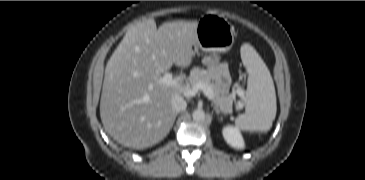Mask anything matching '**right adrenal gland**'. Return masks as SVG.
I'll list each match as a JSON object with an SVG mask.
<instances>
[{"label": "right adrenal gland", "instance_id": "1", "mask_svg": "<svg viewBox=\"0 0 365 180\" xmlns=\"http://www.w3.org/2000/svg\"><path fill=\"white\" fill-rule=\"evenodd\" d=\"M177 116H178V113H175L174 116H173V124H174ZM173 124H172V126H173Z\"/></svg>", "mask_w": 365, "mask_h": 180}]
</instances>
